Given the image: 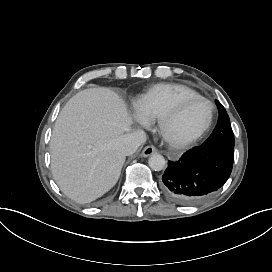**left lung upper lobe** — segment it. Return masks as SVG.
Returning <instances> with one entry per match:
<instances>
[{"mask_svg": "<svg viewBox=\"0 0 272 272\" xmlns=\"http://www.w3.org/2000/svg\"><path fill=\"white\" fill-rule=\"evenodd\" d=\"M219 110V122L211 136L202 146H221L234 148V135L231 129L229 116L219 101H216Z\"/></svg>", "mask_w": 272, "mask_h": 272, "instance_id": "left-lung-upper-lobe-1", "label": "left lung upper lobe"}]
</instances>
